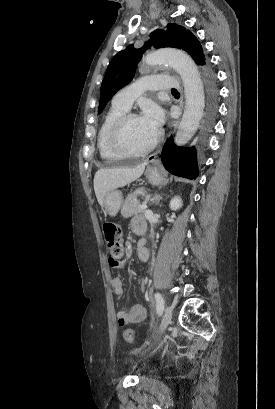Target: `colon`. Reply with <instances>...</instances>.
<instances>
[{"label":"colon","instance_id":"obj_1","mask_svg":"<svg viewBox=\"0 0 275 409\" xmlns=\"http://www.w3.org/2000/svg\"><path fill=\"white\" fill-rule=\"evenodd\" d=\"M102 230L107 247L110 251L112 257H123V243L121 241L122 237V227L120 224L114 221H105L102 224ZM124 339L128 344L135 343L134 330L131 328H126L123 333Z\"/></svg>","mask_w":275,"mask_h":409}]
</instances>
